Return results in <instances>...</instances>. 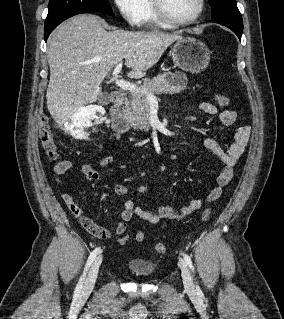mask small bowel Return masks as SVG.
<instances>
[{
    "label": "small bowel",
    "instance_id": "1",
    "mask_svg": "<svg viewBox=\"0 0 284 319\" xmlns=\"http://www.w3.org/2000/svg\"><path fill=\"white\" fill-rule=\"evenodd\" d=\"M199 109L208 115H217L220 122L225 126H231L236 122L237 114L232 110L218 111L217 107L210 102H202L199 105ZM250 136V128L248 126L239 127L233 137L232 143L225 150L214 139L207 138L204 140V147L217 155L223 162V167L217 176L216 185L210 190L205 198L193 199L188 205L182 207H173L159 205L155 211H148L139 206H136L133 201L126 199L128 195V188L125 185H117L115 187L116 194L123 199V209L121 211V222L117 225L115 233L121 235L125 232L128 222L134 215L147 221L150 224H157L162 219L170 220H182L193 212L198 210L204 201L213 202L217 200L223 191V188L231 181L234 174V167L239 161L240 157L245 151ZM109 159V156L104 158L105 161ZM72 161L64 159L57 163L53 168V173L57 182L61 181V175L72 167ZM81 171L84 176L93 182L100 181L102 175L95 171L88 162L81 164ZM139 192L147 197L149 193V187L142 185L139 187ZM62 199L70 210V212L78 218L82 227L92 236L105 240L111 236V232L106 228H103L94 223L87 215V213L81 209L74 202L73 197L65 193L62 195Z\"/></svg>",
    "mask_w": 284,
    "mask_h": 319
}]
</instances>
